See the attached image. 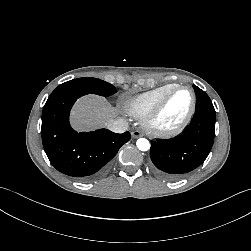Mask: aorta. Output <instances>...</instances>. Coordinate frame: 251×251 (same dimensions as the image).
<instances>
[{"label":"aorta","mask_w":251,"mask_h":251,"mask_svg":"<svg viewBox=\"0 0 251 251\" xmlns=\"http://www.w3.org/2000/svg\"><path fill=\"white\" fill-rule=\"evenodd\" d=\"M136 145H137V148L140 150V151H147L149 150L150 148V143L147 139L145 138H140L137 140L136 142Z\"/></svg>","instance_id":"762f6f07"}]
</instances>
